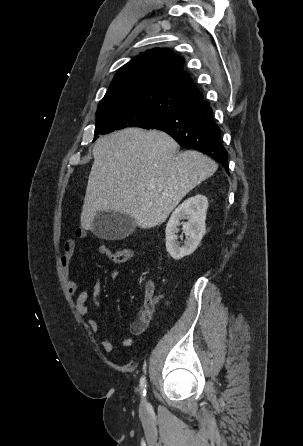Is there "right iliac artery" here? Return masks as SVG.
I'll list each match as a JSON object with an SVG mask.
<instances>
[{
  "label": "right iliac artery",
  "instance_id": "1",
  "mask_svg": "<svg viewBox=\"0 0 303 446\" xmlns=\"http://www.w3.org/2000/svg\"><path fill=\"white\" fill-rule=\"evenodd\" d=\"M146 387H147L146 378L143 376L140 379V389H141L142 396L146 395Z\"/></svg>",
  "mask_w": 303,
  "mask_h": 446
}]
</instances>
